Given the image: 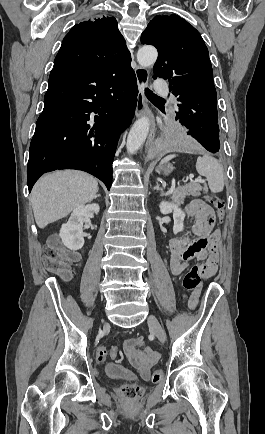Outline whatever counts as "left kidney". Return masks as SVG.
<instances>
[{
  "mask_svg": "<svg viewBox=\"0 0 265 434\" xmlns=\"http://www.w3.org/2000/svg\"><path fill=\"white\" fill-rule=\"evenodd\" d=\"M161 214H172L173 212V232L178 234V232H183L184 230V218L185 214L181 208H178L177 204H171V202H161L160 206Z\"/></svg>",
  "mask_w": 265,
  "mask_h": 434,
  "instance_id": "1",
  "label": "left kidney"
}]
</instances>
